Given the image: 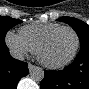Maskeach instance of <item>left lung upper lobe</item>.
<instances>
[{
	"label": "left lung upper lobe",
	"mask_w": 89,
	"mask_h": 89,
	"mask_svg": "<svg viewBox=\"0 0 89 89\" xmlns=\"http://www.w3.org/2000/svg\"><path fill=\"white\" fill-rule=\"evenodd\" d=\"M59 21L69 24L77 33L81 47L89 46V25L72 17H62Z\"/></svg>",
	"instance_id": "obj_1"
}]
</instances>
